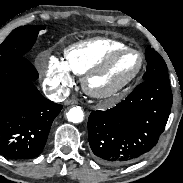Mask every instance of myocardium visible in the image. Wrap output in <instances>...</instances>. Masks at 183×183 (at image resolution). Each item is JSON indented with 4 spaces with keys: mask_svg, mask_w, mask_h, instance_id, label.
Returning a JSON list of instances; mask_svg holds the SVG:
<instances>
[{
    "mask_svg": "<svg viewBox=\"0 0 183 183\" xmlns=\"http://www.w3.org/2000/svg\"><path fill=\"white\" fill-rule=\"evenodd\" d=\"M128 52L136 53L140 58V64L137 71L127 81L116 87H112L107 90H98L94 88L92 85L93 79L106 72L120 55ZM144 65L145 57L140 50L127 46L115 49L109 54H107L102 61H100L97 65L92 67L89 71H87L84 74L82 79L83 90L87 95L96 99H109L118 97L136 82V80L140 77V75L143 72Z\"/></svg>",
    "mask_w": 183,
    "mask_h": 183,
    "instance_id": "f54148a6",
    "label": "myocardium"
}]
</instances>
